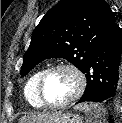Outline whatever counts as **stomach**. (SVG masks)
Returning <instances> with one entry per match:
<instances>
[{"label":"stomach","instance_id":"1","mask_svg":"<svg viewBox=\"0 0 122 123\" xmlns=\"http://www.w3.org/2000/svg\"><path fill=\"white\" fill-rule=\"evenodd\" d=\"M44 123H83V118L70 112H53Z\"/></svg>","mask_w":122,"mask_h":123}]
</instances>
